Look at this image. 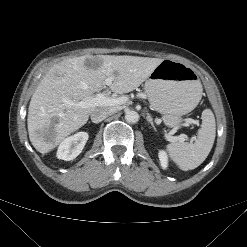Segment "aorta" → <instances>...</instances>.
<instances>
[{
	"label": "aorta",
	"instance_id": "obj_1",
	"mask_svg": "<svg viewBox=\"0 0 247 247\" xmlns=\"http://www.w3.org/2000/svg\"><path fill=\"white\" fill-rule=\"evenodd\" d=\"M125 120L128 123H136L139 121V114L136 111L129 110L125 113Z\"/></svg>",
	"mask_w": 247,
	"mask_h": 247
}]
</instances>
